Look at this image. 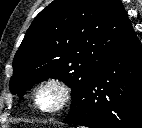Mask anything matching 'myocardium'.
<instances>
[{
    "mask_svg": "<svg viewBox=\"0 0 142 128\" xmlns=\"http://www.w3.org/2000/svg\"><path fill=\"white\" fill-rule=\"evenodd\" d=\"M52 89L58 95V101L51 108H44L41 104V97L46 90ZM72 91L66 81L58 77H49L43 80L37 87L34 94L35 107L44 114L54 115L63 111L70 103Z\"/></svg>",
    "mask_w": 142,
    "mask_h": 128,
    "instance_id": "obj_1",
    "label": "myocardium"
}]
</instances>
